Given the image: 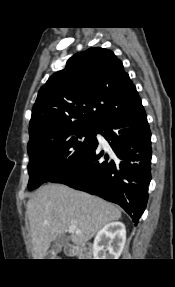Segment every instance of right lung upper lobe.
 Returning <instances> with one entry per match:
<instances>
[{"instance_id": "obj_1", "label": "right lung upper lobe", "mask_w": 175, "mask_h": 287, "mask_svg": "<svg viewBox=\"0 0 175 287\" xmlns=\"http://www.w3.org/2000/svg\"><path fill=\"white\" fill-rule=\"evenodd\" d=\"M141 101L122 62L104 48L71 57L39 90L29 123V143L86 125L100 126Z\"/></svg>"}]
</instances>
